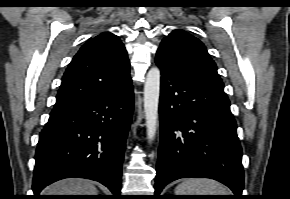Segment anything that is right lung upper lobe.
<instances>
[{
    "label": "right lung upper lobe",
    "instance_id": "obj_1",
    "mask_svg": "<svg viewBox=\"0 0 290 199\" xmlns=\"http://www.w3.org/2000/svg\"><path fill=\"white\" fill-rule=\"evenodd\" d=\"M130 65L121 40L104 32L87 41L66 69L54 108L96 99L124 89Z\"/></svg>",
    "mask_w": 290,
    "mask_h": 199
}]
</instances>
